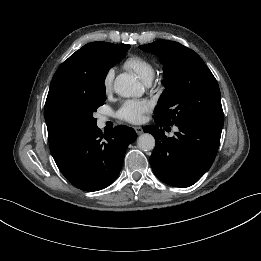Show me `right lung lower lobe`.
<instances>
[{
	"label": "right lung lower lobe",
	"mask_w": 261,
	"mask_h": 261,
	"mask_svg": "<svg viewBox=\"0 0 261 261\" xmlns=\"http://www.w3.org/2000/svg\"><path fill=\"white\" fill-rule=\"evenodd\" d=\"M136 138L134 129L126 126H116L107 135L95 127L54 159L61 173L74 186L98 191L115 181L127 147Z\"/></svg>",
	"instance_id": "right-lung-lower-lobe-1"
}]
</instances>
